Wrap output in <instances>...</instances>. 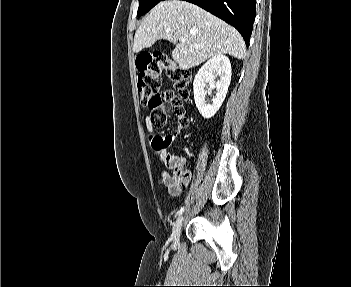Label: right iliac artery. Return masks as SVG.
Instances as JSON below:
<instances>
[{
    "label": "right iliac artery",
    "instance_id": "obj_1",
    "mask_svg": "<svg viewBox=\"0 0 351 287\" xmlns=\"http://www.w3.org/2000/svg\"><path fill=\"white\" fill-rule=\"evenodd\" d=\"M183 212H184V207H181L180 210L177 212V216L182 215Z\"/></svg>",
    "mask_w": 351,
    "mask_h": 287
}]
</instances>
